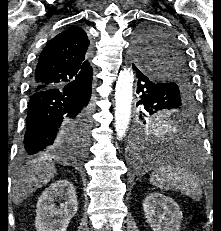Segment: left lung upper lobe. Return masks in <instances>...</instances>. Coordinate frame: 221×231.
<instances>
[{
    "label": "left lung upper lobe",
    "mask_w": 221,
    "mask_h": 231,
    "mask_svg": "<svg viewBox=\"0 0 221 231\" xmlns=\"http://www.w3.org/2000/svg\"><path fill=\"white\" fill-rule=\"evenodd\" d=\"M133 49L137 65L167 85L163 92L143 103L145 113H140L145 117L191 114L194 95L188 63L174 35L157 26L142 25L136 32ZM142 130L139 126V134L149 138L150 135Z\"/></svg>",
    "instance_id": "5c2ea615"
}]
</instances>
